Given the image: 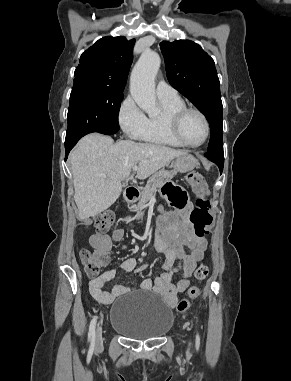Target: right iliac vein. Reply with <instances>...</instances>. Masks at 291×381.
Returning a JSON list of instances; mask_svg holds the SVG:
<instances>
[{
    "mask_svg": "<svg viewBox=\"0 0 291 381\" xmlns=\"http://www.w3.org/2000/svg\"><path fill=\"white\" fill-rule=\"evenodd\" d=\"M103 339H102V327L98 326L95 334V347L99 348L102 345Z\"/></svg>",
    "mask_w": 291,
    "mask_h": 381,
    "instance_id": "1",
    "label": "right iliac vein"
}]
</instances>
